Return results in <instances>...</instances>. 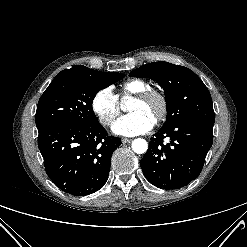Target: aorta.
I'll return each mask as SVG.
<instances>
[{"mask_svg":"<svg viewBox=\"0 0 247 247\" xmlns=\"http://www.w3.org/2000/svg\"><path fill=\"white\" fill-rule=\"evenodd\" d=\"M148 149V143L145 139L137 138L132 142V150L137 154H143Z\"/></svg>","mask_w":247,"mask_h":247,"instance_id":"aorta-1","label":"aorta"}]
</instances>
